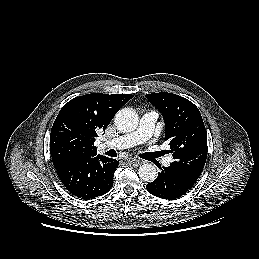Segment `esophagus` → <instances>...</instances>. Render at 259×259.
<instances>
[{
    "label": "esophagus",
    "instance_id": "esophagus-1",
    "mask_svg": "<svg viewBox=\"0 0 259 259\" xmlns=\"http://www.w3.org/2000/svg\"><path fill=\"white\" fill-rule=\"evenodd\" d=\"M127 162H128L130 165L135 166V167H137V166H139V165L141 164V161L138 160V159H136V158H129V159L127 160Z\"/></svg>",
    "mask_w": 259,
    "mask_h": 259
}]
</instances>
